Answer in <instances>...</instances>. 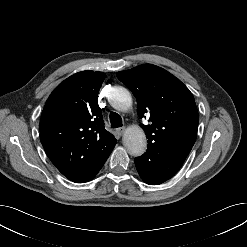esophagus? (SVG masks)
Segmentation results:
<instances>
[{
  "label": "esophagus",
  "instance_id": "34e87169",
  "mask_svg": "<svg viewBox=\"0 0 247 247\" xmlns=\"http://www.w3.org/2000/svg\"><path fill=\"white\" fill-rule=\"evenodd\" d=\"M125 131V127H119L116 129V133L121 136Z\"/></svg>",
  "mask_w": 247,
  "mask_h": 247
}]
</instances>
